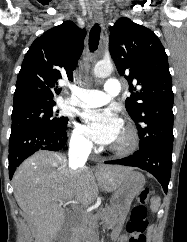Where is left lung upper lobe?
<instances>
[{
	"mask_svg": "<svg viewBox=\"0 0 187 242\" xmlns=\"http://www.w3.org/2000/svg\"><path fill=\"white\" fill-rule=\"evenodd\" d=\"M109 50L119 74L129 81L126 109L137 126L140 149L173 143L172 81L158 37L122 17L111 29Z\"/></svg>",
	"mask_w": 187,
	"mask_h": 242,
	"instance_id": "obj_1",
	"label": "left lung upper lobe"
}]
</instances>
